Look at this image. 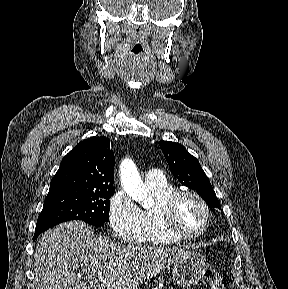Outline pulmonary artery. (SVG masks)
Here are the masks:
<instances>
[{
    "label": "pulmonary artery",
    "mask_w": 288,
    "mask_h": 289,
    "mask_svg": "<svg viewBox=\"0 0 288 289\" xmlns=\"http://www.w3.org/2000/svg\"><path fill=\"white\" fill-rule=\"evenodd\" d=\"M144 181L147 186H160L166 183V178L162 170L151 169L146 172Z\"/></svg>",
    "instance_id": "obj_1"
}]
</instances>
